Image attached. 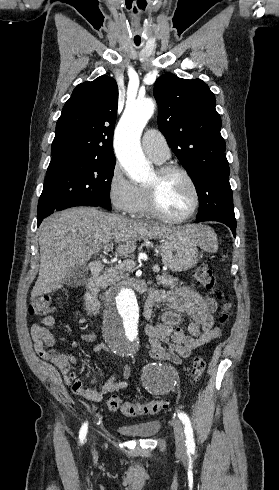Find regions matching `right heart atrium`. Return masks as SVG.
Wrapping results in <instances>:
<instances>
[{"mask_svg": "<svg viewBox=\"0 0 279 490\" xmlns=\"http://www.w3.org/2000/svg\"><path fill=\"white\" fill-rule=\"evenodd\" d=\"M108 199L113 210L121 216H138L143 208V195L115 161L108 176Z\"/></svg>", "mask_w": 279, "mask_h": 490, "instance_id": "1", "label": "right heart atrium"}]
</instances>
